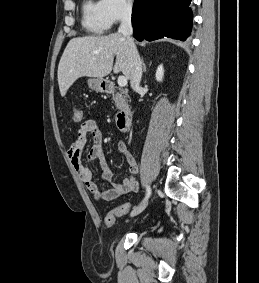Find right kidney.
<instances>
[{"label": "right kidney", "mask_w": 259, "mask_h": 283, "mask_svg": "<svg viewBox=\"0 0 259 283\" xmlns=\"http://www.w3.org/2000/svg\"><path fill=\"white\" fill-rule=\"evenodd\" d=\"M164 76V68L163 65H159L156 71V80L158 82H162Z\"/></svg>", "instance_id": "ca27d5eb"}]
</instances>
